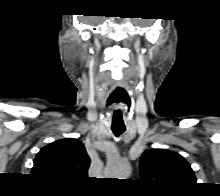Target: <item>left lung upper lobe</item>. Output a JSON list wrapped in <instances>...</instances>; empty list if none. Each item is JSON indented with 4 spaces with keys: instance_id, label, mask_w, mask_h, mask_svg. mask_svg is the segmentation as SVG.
I'll use <instances>...</instances> for the list:
<instances>
[{
    "instance_id": "obj_1",
    "label": "left lung upper lobe",
    "mask_w": 220,
    "mask_h": 196,
    "mask_svg": "<svg viewBox=\"0 0 220 196\" xmlns=\"http://www.w3.org/2000/svg\"><path fill=\"white\" fill-rule=\"evenodd\" d=\"M143 181L167 193H180L196 183L189 163L166 149L145 151L140 160Z\"/></svg>"
}]
</instances>
